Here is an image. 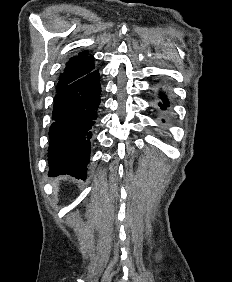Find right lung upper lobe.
I'll return each instance as SVG.
<instances>
[{
  "instance_id": "1",
  "label": "right lung upper lobe",
  "mask_w": 232,
  "mask_h": 282,
  "mask_svg": "<svg viewBox=\"0 0 232 282\" xmlns=\"http://www.w3.org/2000/svg\"><path fill=\"white\" fill-rule=\"evenodd\" d=\"M94 58L88 51L80 52L66 63L64 72L59 77L57 88L63 87L94 70Z\"/></svg>"
}]
</instances>
